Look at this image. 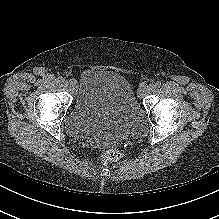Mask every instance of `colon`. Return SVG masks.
<instances>
[{"mask_svg":"<svg viewBox=\"0 0 219 219\" xmlns=\"http://www.w3.org/2000/svg\"><path fill=\"white\" fill-rule=\"evenodd\" d=\"M121 158L122 153L116 149H110L101 154V160L103 163H115L121 160Z\"/></svg>","mask_w":219,"mask_h":219,"instance_id":"colon-1","label":"colon"}]
</instances>
